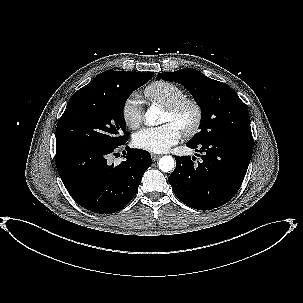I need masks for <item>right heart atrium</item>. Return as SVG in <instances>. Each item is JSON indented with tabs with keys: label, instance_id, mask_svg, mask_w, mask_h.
Returning <instances> with one entry per match:
<instances>
[{
	"label": "right heart atrium",
	"instance_id": "right-heart-atrium-1",
	"mask_svg": "<svg viewBox=\"0 0 303 303\" xmlns=\"http://www.w3.org/2000/svg\"><path fill=\"white\" fill-rule=\"evenodd\" d=\"M121 113L125 124L131 128H138L143 121V103L137 93H131L123 102Z\"/></svg>",
	"mask_w": 303,
	"mask_h": 303
}]
</instances>
